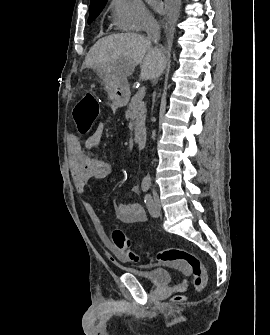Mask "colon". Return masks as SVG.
Returning a JSON list of instances; mask_svg holds the SVG:
<instances>
[{
    "instance_id": "1",
    "label": "colon",
    "mask_w": 270,
    "mask_h": 335,
    "mask_svg": "<svg viewBox=\"0 0 270 335\" xmlns=\"http://www.w3.org/2000/svg\"><path fill=\"white\" fill-rule=\"evenodd\" d=\"M99 115V103L96 97L86 94L72 110L74 123L77 124L79 133L86 134L94 126ZM112 240L120 256L132 262L139 263V256L132 250L130 240L118 229L112 233ZM155 260L173 264L180 269L187 270L193 279L196 291H201L206 286V273L201 259L186 248H166L157 252ZM181 298L182 296H178Z\"/></svg>"
}]
</instances>
